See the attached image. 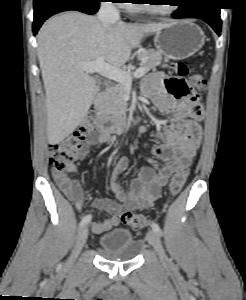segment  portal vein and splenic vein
I'll return each mask as SVG.
<instances>
[{
	"instance_id": "obj_1",
	"label": "portal vein and splenic vein",
	"mask_w": 246,
	"mask_h": 300,
	"mask_svg": "<svg viewBox=\"0 0 246 300\" xmlns=\"http://www.w3.org/2000/svg\"><path fill=\"white\" fill-rule=\"evenodd\" d=\"M81 66L82 69L88 74L98 73L126 86H130L132 84L133 77L139 78L145 74V71L142 67L138 68L133 73H130L105 63L103 58H98L92 62H84L81 64Z\"/></svg>"
}]
</instances>
